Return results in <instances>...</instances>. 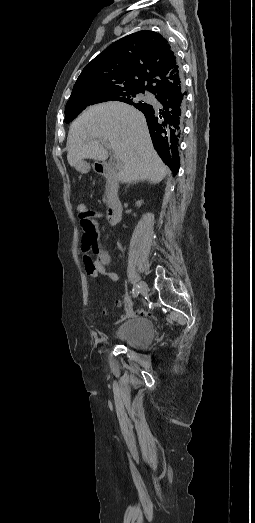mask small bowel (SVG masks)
<instances>
[{"label":"small bowel","mask_w":255,"mask_h":523,"mask_svg":"<svg viewBox=\"0 0 255 523\" xmlns=\"http://www.w3.org/2000/svg\"><path fill=\"white\" fill-rule=\"evenodd\" d=\"M103 215L99 212H91V219L88 222H81L82 228V259L86 272L89 275H102L112 282H117L119 276L116 272L109 271L107 268L111 265L110 254L99 246L100 232L97 219ZM92 253L95 257H92Z\"/></svg>","instance_id":"obj_1"}]
</instances>
